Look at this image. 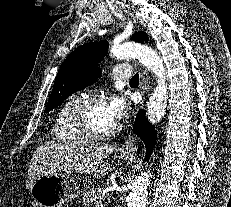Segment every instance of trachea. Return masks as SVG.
I'll return each instance as SVG.
<instances>
[{
	"instance_id": "obj_1",
	"label": "trachea",
	"mask_w": 231,
	"mask_h": 207,
	"mask_svg": "<svg viewBox=\"0 0 231 207\" xmlns=\"http://www.w3.org/2000/svg\"><path fill=\"white\" fill-rule=\"evenodd\" d=\"M130 83H139L138 73L134 75V77L130 80Z\"/></svg>"
}]
</instances>
